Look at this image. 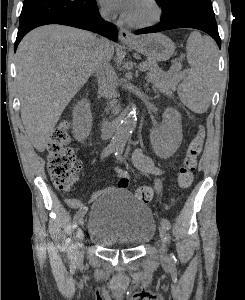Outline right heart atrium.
Segmentation results:
<instances>
[{"label":"right heart atrium","instance_id":"1","mask_svg":"<svg viewBox=\"0 0 245 300\" xmlns=\"http://www.w3.org/2000/svg\"><path fill=\"white\" fill-rule=\"evenodd\" d=\"M102 15H103L104 17H107V12H106L105 10H102Z\"/></svg>","mask_w":245,"mask_h":300}]
</instances>
